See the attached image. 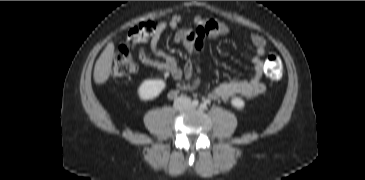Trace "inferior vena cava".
Instances as JSON below:
<instances>
[{"mask_svg": "<svg viewBox=\"0 0 365 180\" xmlns=\"http://www.w3.org/2000/svg\"><path fill=\"white\" fill-rule=\"evenodd\" d=\"M189 104H190V100L186 97H180V98H177L174 101V106L177 109H181L183 106H186V105H189Z\"/></svg>", "mask_w": 365, "mask_h": 180, "instance_id": "602c4592", "label": "inferior vena cava"}]
</instances>
